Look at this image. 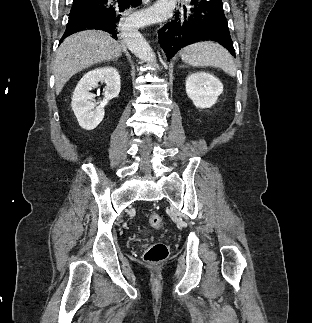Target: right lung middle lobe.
I'll list each match as a JSON object with an SVG mask.
<instances>
[{"mask_svg":"<svg viewBox=\"0 0 312 323\" xmlns=\"http://www.w3.org/2000/svg\"><path fill=\"white\" fill-rule=\"evenodd\" d=\"M79 0H73V4H76Z\"/></svg>","mask_w":312,"mask_h":323,"instance_id":"obj_1","label":"right lung middle lobe"}]
</instances>
